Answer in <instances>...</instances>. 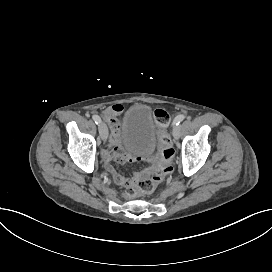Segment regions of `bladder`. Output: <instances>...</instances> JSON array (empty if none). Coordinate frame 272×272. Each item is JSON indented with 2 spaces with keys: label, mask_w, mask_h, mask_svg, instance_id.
<instances>
[{
  "label": "bladder",
  "mask_w": 272,
  "mask_h": 272,
  "mask_svg": "<svg viewBox=\"0 0 272 272\" xmlns=\"http://www.w3.org/2000/svg\"><path fill=\"white\" fill-rule=\"evenodd\" d=\"M156 130H160V122L157 119V110L152 106L136 103L125 111L122 135L130 146L139 143L147 149L152 148L157 143L154 135Z\"/></svg>",
  "instance_id": "obj_1"
}]
</instances>
